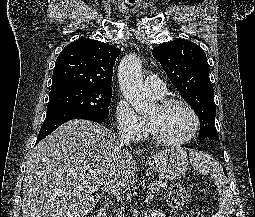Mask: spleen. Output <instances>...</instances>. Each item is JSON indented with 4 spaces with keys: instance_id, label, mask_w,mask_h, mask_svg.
I'll use <instances>...</instances> for the list:
<instances>
[{
    "instance_id": "obj_1",
    "label": "spleen",
    "mask_w": 255,
    "mask_h": 217,
    "mask_svg": "<svg viewBox=\"0 0 255 217\" xmlns=\"http://www.w3.org/2000/svg\"><path fill=\"white\" fill-rule=\"evenodd\" d=\"M192 163L194 168L201 173L207 174L211 172L215 180L221 181L223 179L222 171L219 166L205 155L198 154L192 159Z\"/></svg>"
}]
</instances>
